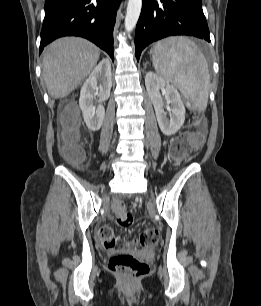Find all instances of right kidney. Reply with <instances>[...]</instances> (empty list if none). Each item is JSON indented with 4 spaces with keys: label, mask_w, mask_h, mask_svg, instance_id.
Here are the masks:
<instances>
[{
    "label": "right kidney",
    "mask_w": 261,
    "mask_h": 306,
    "mask_svg": "<svg viewBox=\"0 0 261 306\" xmlns=\"http://www.w3.org/2000/svg\"><path fill=\"white\" fill-rule=\"evenodd\" d=\"M111 86V63L108 59H103L84 82L80 91L79 105L84 121L92 131H97L102 126L105 116L102 102L109 98Z\"/></svg>",
    "instance_id": "ca27d5eb"
}]
</instances>
